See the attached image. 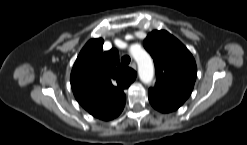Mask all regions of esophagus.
<instances>
[{
	"label": "esophagus",
	"instance_id": "1",
	"mask_svg": "<svg viewBox=\"0 0 247 145\" xmlns=\"http://www.w3.org/2000/svg\"><path fill=\"white\" fill-rule=\"evenodd\" d=\"M130 67L136 70V69H137V64H136V62H132V63L130 64Z\"/></svg>",
	"mask_w": 247,
	"mask_h": 145
}]
</instances>
